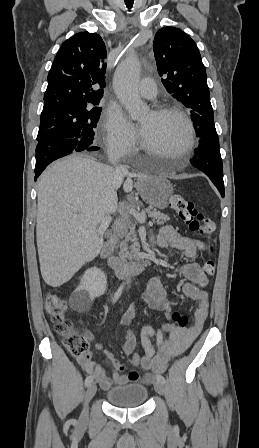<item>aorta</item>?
<instances>
[{
  "label": "aorta",
  "instance_id": "762f6f07",
  "mask_svg": "<svg viewBox=\"0 0 259 448\" xmlns=\"http://www.w3.org/2000/svg\"><path fill=\"white\" fill-rule=\"evenodd\" d=\"M139 77L140 64L133 56L121 62L114 76L115 93L132 119L140 118L147 109L137 91Z\"/></svg>",
  "mask_w": 259,
  "mask_h": 448
}]
</instances>
